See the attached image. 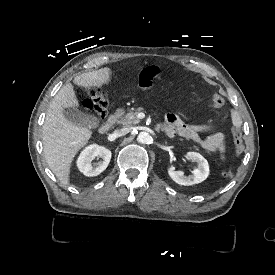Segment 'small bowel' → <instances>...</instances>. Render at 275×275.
Returning a JSON list of instances; mask_svg holds the SVG:
<instances>
[{
	"instance_id": "obj_1",
	"label": "small bowel",
	"mask_w": 275,
	"mask_h": 275,
	"mask_svg": "<svg viewBox=\"0 0 275 275\" xmlns=\"http://www.w3.org/2000/svg\"><path fill=\"white\" fill-rule=\"evenodd\" d=\"M163 73L164 70L162 67L150 64L140 72L137 78V84L143 90L148 91L152 87V79L162 76ZM228 119L231 120L235 128L241 126V117L234 109H229L224 112L215 122L201 124H188L178 115L169 114L167 123L165 124L167 128L166 134L169 137L179 135L189 139L200 145L206 151L218 154L221 160H225V137L223 133L216 132L205 140L200 139L199 133L212 131Z\"/></svg>"
}]
</instances>
